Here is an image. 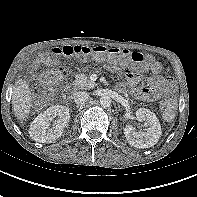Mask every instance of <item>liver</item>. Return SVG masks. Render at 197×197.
Segmentation results:
<instances>
[{
	"label": "liver",
	"mask_w": 197,
	"mask_h": 197,
	"mask_svg": "<svg viewBox=\"0 0 197 197\" xmlns=\"http://www.w3.org/2000/svg\"><path fill=\"white\" fill-rule=\"evenodd\" d=\"M31 101V91L28 83L22 79L17 80L13 86L12 108L18 120H24L28 117Z\"/></svg>",
	"instance_id": "1"
}]
</instances>
